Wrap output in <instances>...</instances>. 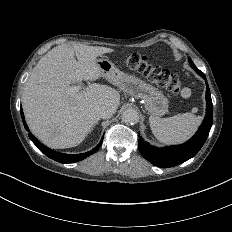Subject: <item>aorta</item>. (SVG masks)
<instances>
[{"instance_id": "obj_1", "label": "aorta", "mask_w": 232, "mask_h": 232, "mask_svg": "<svg viewBox=\"0 0 232 232\" xmlns=\"http://www.w3.org/2000/svg\"><path fill=\"white\" fill-rule=\"evenodd\" d=\"M122 120L126 124H136L139 121V114L135 109L128 108L123 112Z\"/></svg>"}]
</instances>
